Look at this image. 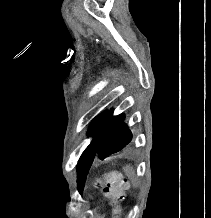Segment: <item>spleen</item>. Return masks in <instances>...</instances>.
Here are the masks:
<instances>
[{
  "instance_id": "obj_1",
  "label": "spleen",
  "mask_w": 211,
  "mask_h": 218,
  "mask_svg": "<svg viewBox=\"0 0 211 218\" xmlns=\"http://www.w3.org/2000/svg\"><path fill=\"white\" fill-rule=\"evenodd\" d=\"M125 170H126V174L129 178V180H132L133 184H135V186H136V184H138V182L135 178V174H134L131 166H126Z\"/></svg>"
}]
</instances>
